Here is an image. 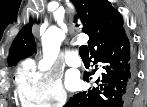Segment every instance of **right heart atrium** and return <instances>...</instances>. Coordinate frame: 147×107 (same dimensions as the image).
<instances>
[{
	"label": "right heart atrium",
	"instance_id": "d8ad5b80",
	"mask_svg": "<svg viewBox=\"0 0 147 107\" xmlns=\"http://www.w3.org/2000/svg\"><path fill=\"white\" fill-rule=\"evenodd\" d=\"M17 91L22 105L34 107L61 106L68 98L57 72L40 71L33 64L26 65L19 70Z\"/></svg>",
	"mask_w": 147,
	"mask_h": 107
}]
</instances>
